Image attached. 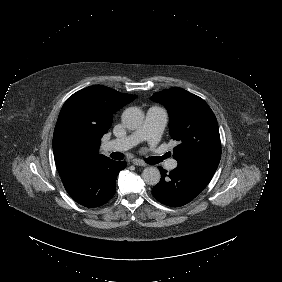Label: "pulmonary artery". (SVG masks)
Here are the masks:
<instances>
[{"label": "pulmonary artery", "mask_w": 282, "mask_h": 282, "mask_svg": "<svg viewBox=\"0 0 282 282\" xmlns=\"http://www.w3.org/2000/svg\"><path fill=\"white\" fill-rule=\"evenodd\" d=\"M167 123V112L164 108L153 106L148 109L143 124L132 134L122 138L115 139L110 144H119L124 150L132 148L143 141H149L155 144L160 138ZM177 162L171 161L169 168H175Z\"/></svg>", "instance_id": "1"}]
</instances>
